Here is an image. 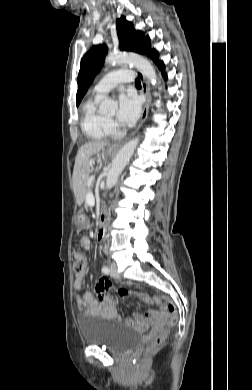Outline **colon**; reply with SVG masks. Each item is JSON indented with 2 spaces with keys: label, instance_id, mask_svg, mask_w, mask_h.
Masks as SVG:
<instances>
[{
  "label": "colon",
  "instance_id": "1",
  "mask_svg": "<svg viewBox=\"0 0 252 390\" xmlns=\"http://www.w3.org/2000/svg\"><path fill=\"white\" fill-rule=\"evenodd\" d=\"M72 263H73V270L75 273H79L84 270L87 263V257L81 248L76 247L72 250ZM109 288L110 285H108L107 289ZM117 293L121 296H130L133 299L141 300V301H148L149 299V297L146 294L139 293V292H132L125 288L118 289ZM77 302L80 310L87 313L88 308L81 296H77ZM163 309L167 316L166 319L167 327L174 326L178 321V314L176 312V308L174 304L171 301H167ZM165 338H166L165 332H161L157 334L153 338V340L144 348V355L147 356L152 352H154L155 350L159 349L163 345Z\"/></svg>",
  "mask_w": 252,
  "mask_h": 390
}]
</instances>
